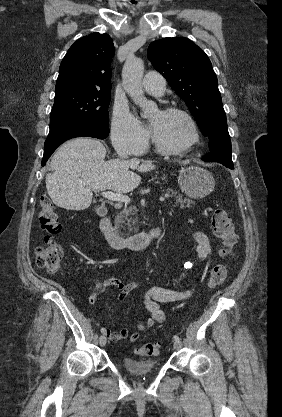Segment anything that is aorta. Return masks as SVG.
<instances>
[{"instance_id": "1", "label": "aorta", "mask_w": 282, "mask_h": 417, "mask_svg": "<svg viewBox=\"0 0 282 417\" xmlns=\"http://www.w3.org/2000/svg\"><path fill=\"white\" fill-rule=\"evenodd\" d=\"M143 72L144 62L142 58H130V56L126 58L122 70L124 88L134 102L142 108V116H148L149 112L155 110L157 104L152 100H147L144 94L142 86Z\"/></svg>"}]
</instances>
